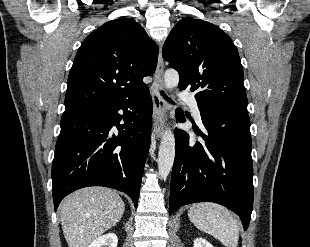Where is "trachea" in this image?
I'll list each match as a JSON object with an SVG mask.
<instances>
[{"label": "trachea", "mask_w": 310, "mask_h": 247, "mask_svg": "<svg viewBox=\"0 0 310 247\" xmlns=\"http://www.w3.org/2000/svg\"><path fill=\"white\" fill-rule=\"evenodd\" d=\"M163 97L168 100L170 103H173L172 100H170L163 92H162Z\"/></svg>", "instance_id": "obj_1"}]
</instances>
